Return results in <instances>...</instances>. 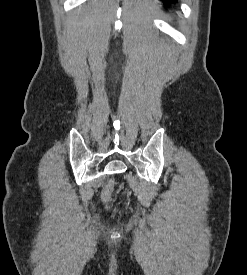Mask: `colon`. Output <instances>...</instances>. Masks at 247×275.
<instances>
[{
	"label": "colon",
	"mask_w": 247,
	"mask_h": 275,
	"mask_svg": "<svg viewBox=\"0 0 247 275\" xmlns=\"http://www.w3.org/2000/svg\"><path fill=\"white\" fill-rule=\"evenodd\" d=\"M113 188H114V181L111 179L108 181L102 193L103 200L108 204H111V194H112Z\"/></svg>",
	"instance_id": "obj_1"
}]
</instances>
